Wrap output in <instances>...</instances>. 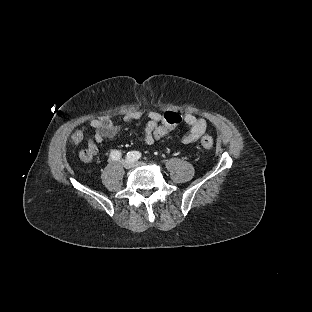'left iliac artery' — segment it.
<instances>
[{
	"label": "left iliac artery",
	"instance_id": "44dca946",
	"mask_svg": "<svg viewBox=\"0 0 312 312\" xmlns=\"http://www.w3.org/2000/svg\"><path fill=\"white\" fill-rule=\"evenodd\" d=\"M127 157L133 161L139 159L141 157V153L137 152V151H133V152H128L127 153Z\"/></svg>",
	"mask_w": 312,
	"mask_h": 312
}]
</instances>
